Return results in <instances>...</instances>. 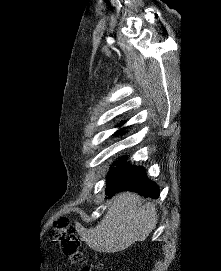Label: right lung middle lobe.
<instances>
[{
	"instance_id": "obj_1",
	"label": "right lung middle lobe",
	"mask_w": 221,
	"mask_h": 271,
	"mask_svg": "<svg viewBox=\"0 0 221 271\" xmlns=\"http://www.w3.org/2000/svg\"><path fill=\"white\" fill-rule=\"evenodd\" d=\"M118 133H120V132H118ZM125 160H126L125 158H121V159H119L118 162L114 163L113 165H119V164L123 163Z\"/></svg>"
}]
</instances>
